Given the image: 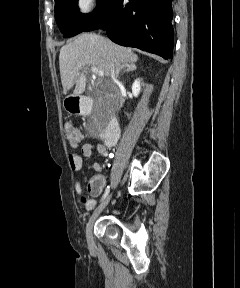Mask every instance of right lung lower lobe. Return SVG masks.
<instances>
[{
  "mask_svg": "<svg viewBox=\"0 0 240 288\" xmlns=\"http://www.w3.org/2000/svg\"><path fill=\"white\" fill-rule=\"evenodd\" d=\"M172 0H109L84 31L106 30L117 44L172 59Z\"/></svg>",
  "mask_w": 240,
  "mask_h": 288,
  "instance_id": "obj_1",
  "label": "right lung lower lobe"
}]
</instances>
